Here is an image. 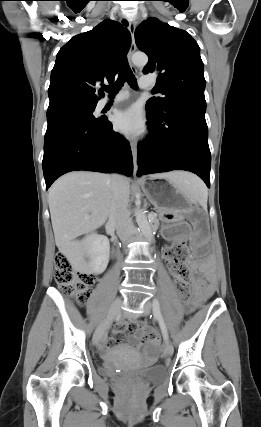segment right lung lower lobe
<instances>
[{
    "instance_id": "obj_1",
    "label": "right lung lower lobe",
    "mask_w": 261,
    "mask_h": 427,
    "mask_svg": "<svg viewBox=\"0 0 261 427\" xmlns=\"http://www.w3.org/2000/svg\"><path fill=\"white\" fill-rule=\"evenodd\" d=\"M42 167L49 188L58 177L76 170L132 176L133 159L129 143L113 132L109 120L65 117L48 121Z\"/></svg>"
}]
</instances>
